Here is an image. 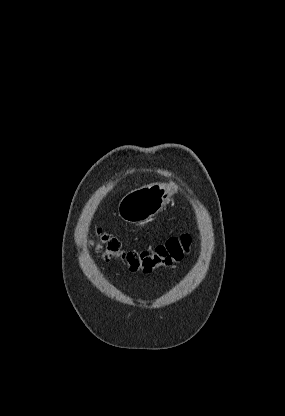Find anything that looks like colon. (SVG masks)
Segmentation results:
<instances>
[{
	"label": "colon",
	"mask_w": 285,
	"mask_h": 416,
	"mask_svg": "<svg viewBox=\"0 0 285 416\" xmlns=\"http://www.w3.org/2000/svg\"><path fill=\"white\" fill-rule=\"evenodd\" d=\"M93 245L106 261L117 260L131 272L151 273L181 261L189 252L191 237L188 234L172 237L165 243L146 251H126L119 239L97 229Z\"/></svg>",
	"instance_id": "5ec220e1"
}]
</instances>
